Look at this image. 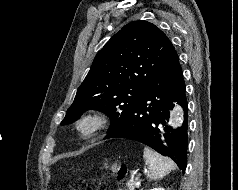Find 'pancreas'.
Segmentation results:
<instances>
[{"instance_id":"1","label":"pancreas","mask_w":238,"mask_h":190,"mask_svg":"<svg viewBox=\"0 0 238 190\" xmlns=\"http://www.w3.org/2000/svg\"><path fill=\"white\" fill-rule=\"evenodd\" d=\"M140 185V181L138 178L130 179L127 181L126 186L128 187V190H134L135 188H138ZM126 190V189H125Z\"/></svg>"}]
</instances>
